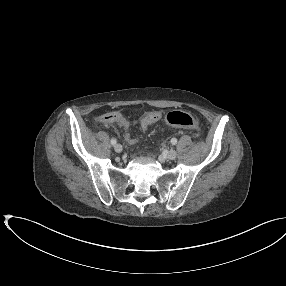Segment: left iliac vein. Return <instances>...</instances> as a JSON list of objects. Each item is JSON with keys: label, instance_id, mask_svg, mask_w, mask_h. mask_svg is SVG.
<instances>
[{"label": "left iliac vein", "instance_id": "obj_1", "mask_svg": "<svg viewBox=\"0 0 286 286\" xmlns=\"http://www.w3.org/2000/svg\"><path fill=\"white\" fill-rule=\"evenodd\" d=\"M177 157V152L175 150H170L167 154L169 160H174Z\"/></svg>", "mask_w": 286, "mask_h": 286}]
</instances>
